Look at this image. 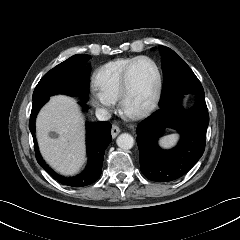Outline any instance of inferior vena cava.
I'll list each match as a JSON object with an SVG mask.
<instances>
[{
	"label": "inferior vena cava",
	"instance_id": "obj_1",
	"mask_svg": "<svg viewBox=\"0 0 240 240\" xmlns=\"http://www.w3.org/2000/svg\"><path fill=\"white\" fill-rule=\"evenodd\" d=\"M95 114L97 119L100 121H107L111 118V114L103 108H97Z\"/></svg>",
	"mask_w": 240,
	"mask_h": 240
}]
</instances>
